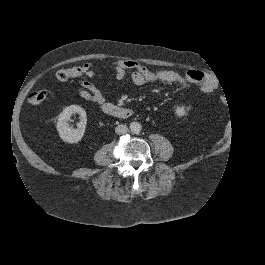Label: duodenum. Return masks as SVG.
<instances>
[{"mask_svg": "<svg viewBox=\"0 0 265 265\" xmlns=\"http://www.w3.org/2000/svg\"><path fill=\"white\" fill-rule=\"evenodd\" d=\"M101 109L109 115H112L117 118H128L133 115V110L129 108H124L121 106H117L111 103H103L101 104Z\"/></svg>", "mask_w": 265, "mask_h": 265, "instance_id": "obj_1", "label": "duodenum"}]
</instances>
